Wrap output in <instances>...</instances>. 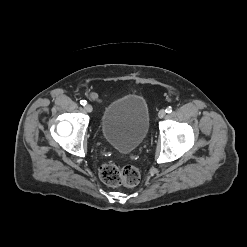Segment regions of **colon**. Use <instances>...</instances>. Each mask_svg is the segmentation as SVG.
I'll return each mask as SVG.
<instances>
[{
  "label": "colon",
  "instance_id": "5ec220e1",
  "mask_svg": "<svg viewBox=\"0 0 247 247\" xmlns=\"http://www.w3.org/2000/svg\"><path fill=\"white\" fill-rule=\"evenodd\" d=\"M99 175L101 180L112 187H133L140 180V174L137 168L131 165L119 167L112 162L103 164Z\"/></svg>",
  "mask_w": 247,
  "mask_h": 247
}]
</instances>
